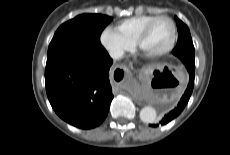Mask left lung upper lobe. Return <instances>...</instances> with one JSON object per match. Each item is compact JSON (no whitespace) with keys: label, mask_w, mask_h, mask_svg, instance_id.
Segmentation results:
<instances>
[{"label":"left lung upper lobe","mask_w":230,"mask_h":155,"mask_svg":"<svg viewBox=\"0 0 230 155\" xmlns=\"http://www.w3.org/2000/svg\"><path fill=\"white\" fill-rule=\"evenodd\" d=\"M175 20L178 28V42L172 53L178 58L180 55H186L194 59V46L189 28L176 16Z\"/></svg>","instance_id":"obj_1"}]
</instances>
